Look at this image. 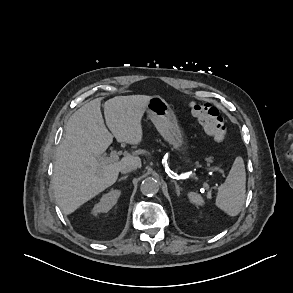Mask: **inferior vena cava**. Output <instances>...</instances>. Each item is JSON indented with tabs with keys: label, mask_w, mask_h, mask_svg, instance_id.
I'll return each instance as SVG.
<instances>
[{
	"label": "inferior vena cava",
	"mask_w": 293,
	"mask_h": 293,
	"mask_svg": "<svg viewBox=\"0 0 293 293\" xmlns=\"http://www.w3.org/2000/svg\"><path fill=\"white\" fill-rule=\"evenodd\" d=\"M136 169H137V165L135 163H126L121 166L120 172L125 174V173H129V172L136 170Z\"/></svg>",
	"instance_id": "1"
}]
</instances>
